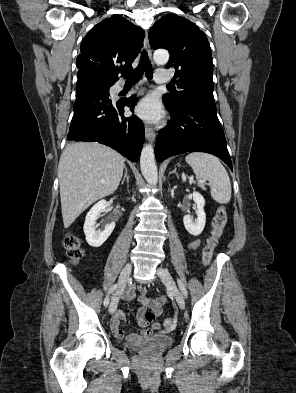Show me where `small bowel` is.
Masks as SVG:
<instances>
[{"mask_svg":"<svg viewBox=\"0 0 296 393\" xmlns=\"http://www.w3.org/2000/svg\"><path fill=\"white\" fill-rule=\"evenodd\" d=\"M198 245V240H193L189 243V247L191 249L197 248ZM143 293L144 289L142 287L132 284L123 292V297L127 300L137 299L144 308V310H150L156 315H160L166 301L165 297L161 295L156 298H148ZM115 311V315L111 320V329L117 337H124L125 332L122 328H120L119 324L125 319V312L122 309H117ZM137 317L138 324L141 329L127 335L126 338L128 340L134 341L147 339L148 337H150L153 331H157L160 329V324L158 323H155L151 327H148V322H146L142 318L141 313H139Z\"/></svg>","mask_w":296,"mask_h":393,"instance_id":"small-bowel-1","label":"small bowel"}]
</instances>
